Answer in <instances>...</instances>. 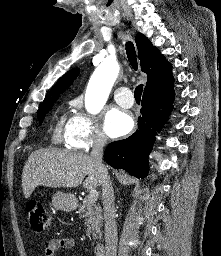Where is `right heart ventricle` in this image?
<instances>
[{"label": "right heart ventricle", "instance_id": "e07e8e85", "mask_svg": "<svg viewBox=\"0 0 221 256\" xmlns=\"http://www.w3.org/2000/svg\"><path fill=\"white\" fill-rule=\"evenodd\" d=\"M67 123L65 124L64 115H62L61 117H59V119H57L54 129H53L52 139H53V141H55L57 143H62L66 146H69L67 139H66Z\"/></svg>", "mask_w": 221, "mask_h": 256}]
</instances>
